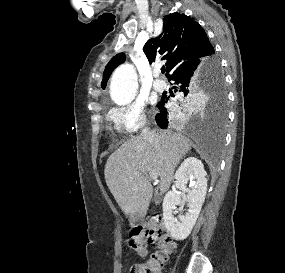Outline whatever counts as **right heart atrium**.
<instances>
[{
	"label": "right heart atrium",
	"mask_w": 285,
	"mask_h": 273,
	"mask_svg": "<svg viewBox=\"0 0 285 273\" xmlns=\"http://www.w3.org/2000/svg\"><path fill=\"white\" fill-rule=\"evenodd\" d=\"M110 119L117 132L131 135L139 132L146 124L144 104L130 102L111 109Z\"/></svg>",
	"instance_id": "d8ad5b80"
}]
</instances>
